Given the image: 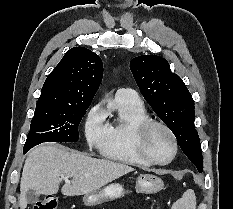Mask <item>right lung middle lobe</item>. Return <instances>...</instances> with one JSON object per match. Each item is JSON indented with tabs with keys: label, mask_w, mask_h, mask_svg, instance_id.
I'll list each match as a JSON object with an SVG mask.
<instances>
[{
	"label": "right lung middle lobe",
	"mask_w": 233,
	"mask_h": 209,
	"mask_svg": "<svg viewBox=\"0 0 233 209\" xmlns=\"http://www.w3.org/2000/svg\"><path fill=\"white\" fill-rule=\"evenodd\" d=\"M89 106L79 105L58 112L35 110L24 153L42 142H76L79 139L77 127Z\"/></svg>",
	"instance_id": "dd1d6c3e"
}]
</instances>
